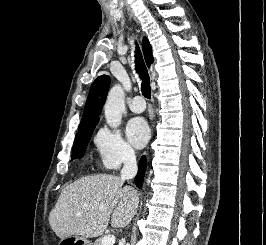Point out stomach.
I'll use <instances>...</instances> for the list:
<instances>
[{
  "label": "stomach",
  "mask_w": 266,
  "mask_h": 245,
  "mask_svg": "<svg viewBox=\"0 0 266 245\" xmlns=\"http://www.w3.org/2000/svg\"><path fill=\"white\" fill-rule=\"evenodd\" d=\"M63 242H74L76 245H90L86 237H63Z\"/></svg>",
  "instance_id": "1"
}]
</instances>
